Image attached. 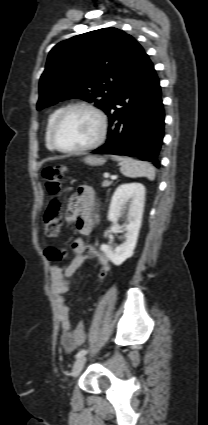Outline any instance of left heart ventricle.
I'll return each mask as SVG.
<instances>
[{"label": "left heart ventricle", "mask_w": 208, "mask_h": 425, "mask_svg": "<svg viewBox=\"0 0 208 425\" xmlns=\"http://www.w3.org/2000/svg\"><path fill=\"white\" fill-rule=\"evenodd\" d=\"M98 132L97 118L91 112L76 109L67 113L61 120L55 138L59 146L73 149L93 142Z\"/></svg>", "instance_id": "1"}]
</instances>
